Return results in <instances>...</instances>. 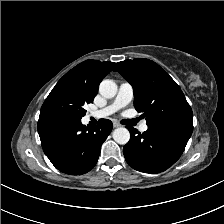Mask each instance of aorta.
Returning <instances> with one entry per match:
<instances>
[{"mask_svg":"<svg viewBox=\"0 0 224 224\" xmlns=\"http://www.w3.org/2000/svg\"><path fill=\"white\" fill-rule=\"evenodd\" d=\"M117 84L110 79L103 80L99 85V92L105 98H113L117 94ZM113 139L120 145H125L130 140V132L125 127H119L113 132Z\"/></svg>","mask_w":224,"mask_h":224,"instance_id":"aorta-1","label":"aorta"}]
</instances>
